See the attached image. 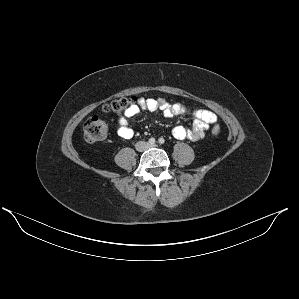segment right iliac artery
I'll return each instance as SVG.
<instances>
[{"label": "right iliac artery", "mask_w": 299, "mask_h": 299, "mask_svg": "<svg viewBox=\"0 0 299 299\" xmlns=\"http://www.w3.org/2000/svg\"><path fill=\"white\" fill-rule=\"evenodd\" d=\"M155 142H156L155 138H150V139L148 140V143H149L150 145L155 144Z\"/></svg>", "instance_id": "right-iliac-artery-1"}]
</instances>
